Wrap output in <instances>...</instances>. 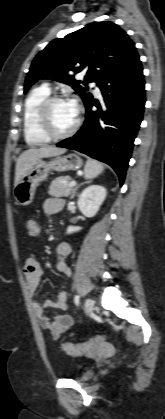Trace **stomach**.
<instances>
[{"instance_id":"0dacf381","label":"stomach","mask_w":165,"mask_h":419,"mask_svg":"<svg viewBox=\"0 0 165 419\" xmlns=\"http://www.w3.org/2000/svg\"><path fill=\"white\" fill-rule=\"evenodd\" d=\"M82 166L83 160L76 154L57 155L49 161L40 159L15 185L14 198L20 205H29L34 199L36 187L40 182L47 179L51 170L65 172L79 170Z\"/></svg>"}]
</instances>
